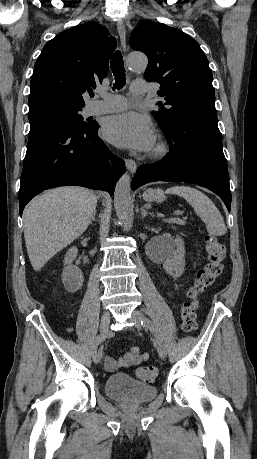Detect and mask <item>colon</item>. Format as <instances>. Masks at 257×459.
Returning <instances> with one entry per match:
<instances>
[{"label": "colon", "mask_w": 257, "mask_h": 459, "mask_svg": "<svg viewBox=\"0 0 257 459\" xmlns=\"http://www.w3.org/2000/svg\"><path fill=\"white\" fill-rule=\"evenodd\" d=\"M207 263L199 270L197 277L187 291L189 299H195L199 294L208 290L224 272L225 247L215 236L208 235L205 239ZM181 326L185 332H193L197 328V314L194 306L186 301L181 307ZM138 378L151 382L157 375L154 367H141L136 372Z\"/></svg>", "instance_id": "obj_1"}]
</instances>
